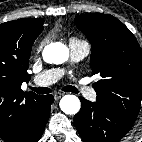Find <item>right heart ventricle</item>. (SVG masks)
<instances>
[{"mask_svg":"<svg viewBox=\"0 0 142 142\" xmlns=\"http://www.w3.org/2000/svg\"><path fill=\"white\" fill-rule=\"evenodd\" d=\"M71 41H80V40H77V39H74V38H73V39H71Z\"/></svg>","mask_w":142,"mask_h":142,"instance_id":"right-heart-ventricle-1","label":"right heart ventricle"}]
</instances>
